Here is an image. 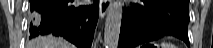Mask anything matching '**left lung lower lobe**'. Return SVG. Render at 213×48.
<instances>
[{
	"mask_svg": "<svg viewBox=\"0 0 213 48\" xmlns=\"http://www.w3.org/2000/svg\"><path fill=\"white\" fill-rule=\"evenodd\" d=\"M188 5L186 0H141L133 4L123 12L118 48H134L164 35H174L190 47Z\"/></svg>",
	"mask_w": 213,
	"mask_h": 48,
	"instance_id": "obj_1",
	"label": "left lung lower lobe"
}]
</instances>
